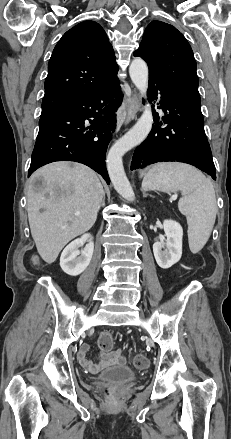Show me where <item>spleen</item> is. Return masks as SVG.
Instances as JSON below:
<instances>
[{"mask_svg": "<svg viewBox=\"0 0 231 439\" xmlns=\"http://www.w3.org/2000/svg\"><path fill=\"white\" fill-rule=\"evenodd\" d=\"M142 189L182 191L178 208L187 219L190 250L199 252L208 241L216 219V197L210 179L187 164L159 163L144 176Z\"/></svg>", "mask_w": 231, "mask_h": 439, "instance_id": "spleen-1", "label": "spleen"}]
</instances>
